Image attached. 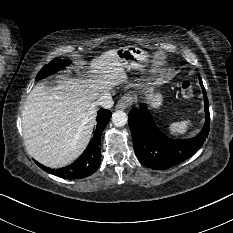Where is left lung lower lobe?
<instances>
[{"mask_svg": "<svg viewBox=\"0 0 233 233\" xmlns=\"http://www.w3.org/2000/svg\"><path fill=\"white\" fill-rule=\"evenodd\" d=\"M205 105V124L198 136L188 140L170 139L156 127L144 104L140 109L133 108L129 114V127L132 134L133 147L137 158L143 164L155 170H163L185 161L194 155L203 145L209 134V104L202 80Z\"/></svg>", "mask_w": 233, "mask_h": 233, "instance_id": "1", "label": "left lung lower lobe"}]
</instances>
